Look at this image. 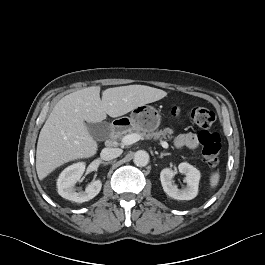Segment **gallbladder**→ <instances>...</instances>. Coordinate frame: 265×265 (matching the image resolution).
Wrapping results in <instances>:
<instances>
[{"label":"gallbladder","instance_id":"gallbladder-1","mask_svg":"<svg viewBox=\"0 0 265 265\" xmlns=\"http://www.w3.org/2000/svg\"><path fill=\"white\" fill-rule=\"evenodd\" d=\"M87 127L92 137L96 140H104L110 133V124L105 121L99 123H88Z\"/></svg>","mask_w":265,"mask_h":265}]
</instances>
